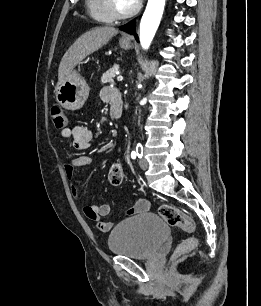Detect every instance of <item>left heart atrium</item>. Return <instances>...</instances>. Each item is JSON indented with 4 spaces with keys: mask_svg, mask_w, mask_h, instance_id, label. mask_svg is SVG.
I'll list each match as a JSON object with an SVG mask.
<instances>
[{
    "mask_svg": "<svg viewBox=\"0 0 261 306\" xmlns=\"http://www.w3.org/2000/svg\"><path fill=\"white\" fill-rule=\"evenodd\" d=\"M135 2H138L139 0H134Z\"/></svg>",
    "mask_w": 261,
    "mask_h": 306,
    "instance_id": "left-heart-atrium-1",
    "label": "left heart atrium"
}]
</instances>
